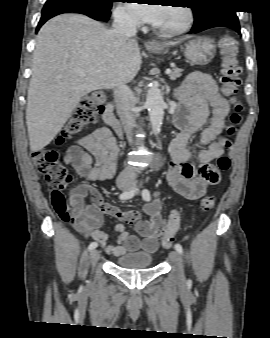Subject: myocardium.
Listing matches in <instances>:
<instances>
[{
    "label": "myocardium",
    "instance_id": "myocardium-1",
    "mask_svg": "<svg viewBox=\"0 0 270 338\" xmlns=\"http://www.w3.org/2000/svg\"><path fill=\"white\" fill-rule=\"evenodd\" d=\"M184 13V22L179 27L173 29H160L155 26H152V29L159 35L164 37H174L186 33L193 25L194 22V13L191 7L187 5H181L179 7Z\"/></svg>",
    "mask_w": 270,
    "mask_h": 338
}]
</instances>
